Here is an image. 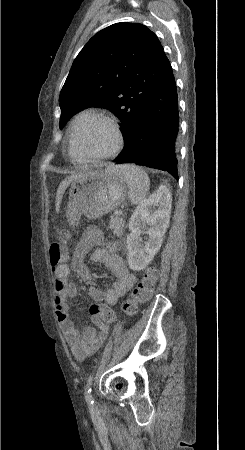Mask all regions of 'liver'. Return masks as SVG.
<instances>
[{
	"label": "liver",
	"mask_w": 245,
	"mask_h": 450,
	"mask_svg": "<svg viewBox=\"0 0 245 450\" xmlns=\"http://www.w3.org/2000/svg\"><path fill=\"white\" fill-rule=\"evenodd\" d=\"M88 173L89 172L79 173V174H76V175H71V176L67 177L66 179H64L60 183V185L58 187V190H57V195H56V211L59 210L60 203H61L62 198H63V194H64L65 190L67 189V187L70 185V183H72L77 178H80V177H83V176L87 175Z\"/></svg>",
	"instance_id": "obj_1"
}]
</instances>
